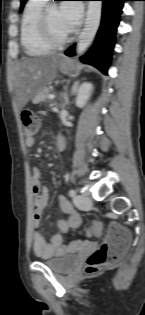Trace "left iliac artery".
Segmentation results:
<instances>
[{"label":"left iliac artery","instance_id":"44dca946","mask_svg":"<svg viewBox=\"0 0 145 315\" xmlns=\"http://www.w3.org/2000/svg\"><path fill=\"white\" fill-rule=\"evenodd\" d=\"M68 194L70 197H74L76 195V191L74 189H70Z\"/></svg>","mask_w":145,"mask_h":315}]
</instances>
